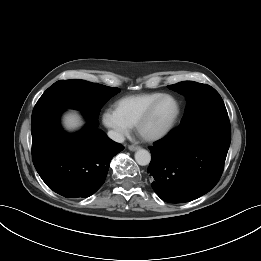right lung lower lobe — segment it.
I'll return each instance as SVG.
<instances>
[{
  "label": "right lung lower lobe",
  "instance_id": "98d812e1",
  "mask_svg": "<svg viewBox=\"0 0 261 261\" xmlns=\"http://www.w3.org/2000/svg\"><path fill=\"white\" fill-rule=\"evenodd\" d=\"M62 111L49 109L32 118L33 163L54 192L86 198L102 186L111 159L124 147L97 129L98 118L87 113L88 123L81 132L65 133L59 125Z\"/></svg>",
  "mask_w": 261,
  "mask_h": 261
}]
</instances>
